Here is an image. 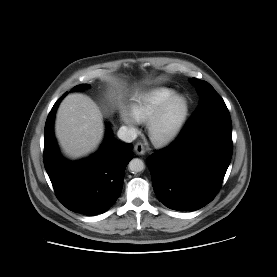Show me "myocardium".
<instances>
[{
	"mask_svg": "<svg viewBox=\"0 0 277 277\" xmlns=\"http://www.w3.org/2000/svg\"><path fill=\"white\" fill-rule=\"evenodd\" d=\"M177 101H182L183 103V110L179 119L169 131L161 132L159 130L161 121L168 109ZM189 111V100L184 94L176 93L166 100L147 122V131L151 141L158 146H164L174 141L183 130L189 116Z\"/></svg>",
	"mask_w": 277,
	"mask_h": 277,
	"instance_id": "obj_1",
	"label": "myocardium"
}]
</instances>
